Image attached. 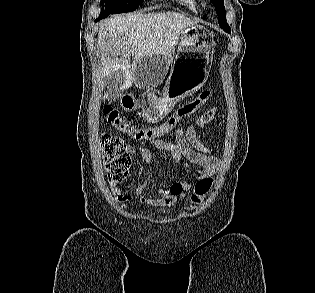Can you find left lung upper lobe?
Wrapping results in <instances>:
<instances>
[{
	"label": "left lung upper lobe",
	"mask_w": 315,
	"mask_h": 293,
	"mask_svg": "<svg viewBox=\"0 0 315 293\" xmlns=\"http://www.w3.org/2000/svg\"><path fill=\"white\" fill-rule=\"evenodd\" d=\"M210 1L216 6L215 10H216V13L219 17L218 23H219L220 27L224 31L230 33L231 32L230 27L226 22L224 1L223 0H210Z\"/></svg>",
	"instance_id": "left-lung-upper-lobe-1"
}]
</instances>
